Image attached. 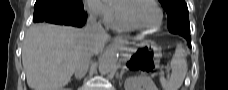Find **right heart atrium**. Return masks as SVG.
Listing matches in <instances>:
<instances>
[{
	"instance_id": "d8ad5b80",
	"label": "right heart atrium",
	"mask_w": 228,
	"mask_h": 90,
	"mask_svg": "<svg viewBox=\"0 0 228 90\" xmlns=\"http://www.w3.org/2000/svg\"><path fill=\"white\" fill-rule=\"evenodd\" d=\"M85 7L89 14L104 24H109L114 15V8L108 0H85Z\"/></svg>"
}]
</instances>
